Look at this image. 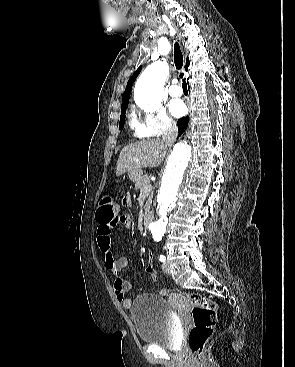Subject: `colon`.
Returning a JSON list of instances; mask_svg holds the SVG:
<instances>
[{
    "instance_id": "obj_1",
    "label": "colon",
    "mask_w": 295,
    "mask_h": 367,
    "mask_svg": "<svg viewBox=\"0 0 295 367\" xmlns=\"http://www.w3.org/2000/svg\"><path fill=\"white\" fill-rule=\"evenodd\" d=\"M118 207L116 202L108 195L102 197L97 213V220L102 223L117 218ZM147 272L157 279L155 264L149 259ZM167 290H163L166 293ZM186 297L192 304L194 325L188 336V344L198 356L203 354L205 345L214 332L217 317V305L205 295L199 293H187Z\"/></svg>"
}]
</instances>
